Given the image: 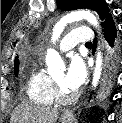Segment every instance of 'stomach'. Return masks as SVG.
<instances>
[{"mask_svg": "<svg viewBox=\"0 0 122 123\" xmlns=\"http://www.w3.org/2000/svg\"><path fill=\"white\" fill-rule=\"evenodd\" d=\"M60 123H72V117L62 116L60 118Z\"/></svg>", "mask_w": 122, "mask_h": 123, "instance_id": "0dacf381", "label": "stomach"}]
</instances>
